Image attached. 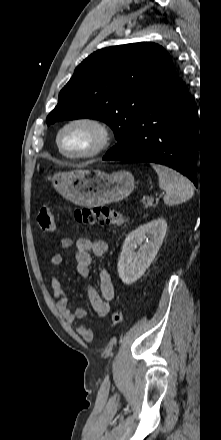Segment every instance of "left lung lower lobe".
Here are the masks:
<instances>
[{
  "instance_id": "left-lung-lower-lobe-1",
  "label": "left lung lower lobe",
  "mask_w": 221,
  "mask_h": 440,
  "mask_svg": "<svg viewBox=\"0 0 221 440\" xmlns=\"http://www.w3.org/2000/svg\"><path fill=\"white\" fill-rule=\"evenodd\" d=\"M197 107L175 75L150 101L120 154L103 160L154 162L187 176L197 186L195 152L199 150Z\"/></svg>"
}]
</instances>
